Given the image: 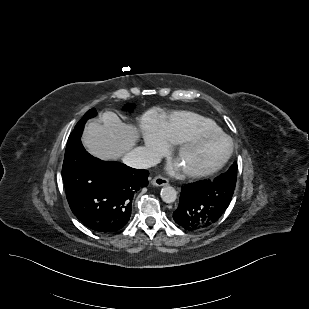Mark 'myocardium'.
I'll return each mask as SVG.
<instances>
[{
	"label": "myocardium",
	"mask_w": 309,
	"mask_h": 309,
	"mask_svg": "<svg viewBox=\"0 0 309 309\" xmlns=\"http://www.w3.org/2000/svg\"><path fill=\"white\" fill-rule=\"evenodd\" d=\"M208 138H221L227 141L228 148L224 156L212 167L203 169V170H195V169H184V175L192 178V179H201L214 175L218 171H220L229 161L233 154L234 145L232 139L223 132H196L187 139L183 140L179 144H177L174 155L178 158L184 151L191 148L198 142L208 139Z\"/></svg>",
	"instance_id": "f54148a6"
}]
</instances>
